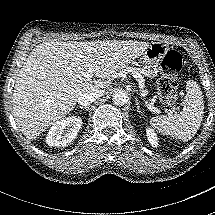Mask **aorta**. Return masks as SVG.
Masks as SVG:
<instances>
[{
	"instance_id": "1",
	"label": "aorta",
	"mask_w": 215,
	"mask_h": 215,
	"mask_svg": "<svg viewBox=\"0 0 215 215\" xmlns=\"http://www.w3.org/2000/svg\"><path fill=\"white\" fill-rule=\"evenodd\" d=\"M115 105L123 106L129 101V94L125 90H117L112 98Z\"/></svg>"
}]
</instances>
